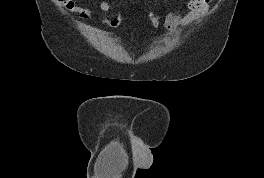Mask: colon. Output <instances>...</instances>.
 Here are the masks:
<instances>
[{
    "label": "colon",
    "mask_w": 264,
    "mask_h": 178,
    "mask_svg": "<svg viewBox=\"0 0 264 178\" xmlns=\"http://www.w3.org/2000/svg\"><path fill=\"white\" fill-rule=\"evenodd\" d=\"M59 4L64 7L73 6V0H58ZM123 17L121 14L109 12L106 14V18L103 24L108 28H118L123 23ZM162 21V15L157 11H152L147 17V26L150 29H156L160 26Z\"/></svg>",
    "instance_id": "1"
}]
</instances>
